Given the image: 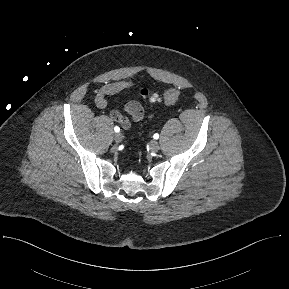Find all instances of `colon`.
I'll list each match as a JSON object with an SVG mask.
<instances>
[{"instance_id": "1", "label": "colon", "mask_w": 289, "mask_h": 289, "mask_svg": "<svg viewBox=\"0 0 289 289\" xmlns=\"http://www.w3.org/2000/svg\"><path fill=\"white\" fill-rule=\"evenodd\" d=\"M141 96L148 97L153 103H162L164 105L174 104L180 97V91L178 89L172 88L167 90L163 95H158L155 93H149L148 90L142 89L140 91Z\"/></svg>"}]
</instances>
